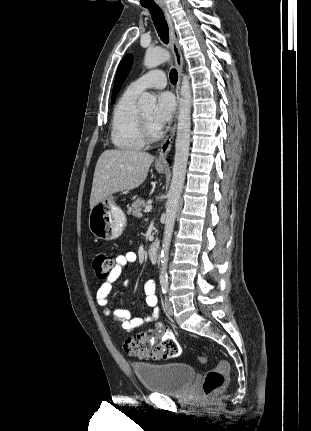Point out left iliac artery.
Segmentation results:
<instances>
[{
  "label": "left iliac artery",
  "instance_id": "44dca946",
  "mask_svg": "<svg viewBox=\"0 0 311 431\" xmlns=\"http://www.w3.org/2000/svg\"><path fill=\"white\" fill-rule=\"evenodd\" d=\"M161 290L164 294L167 293V291H168V283L167 282H164V281L161 282Z\"/></svg>",
  "mask_w": 311,
  "mask_h": 431
}]
</instances>
